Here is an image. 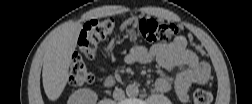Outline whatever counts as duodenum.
I'll use <instances>...</instances> for the list:
<instances>
[{"label":"duodenum","instance_id":"410a0bca","mask_svg":"<svg viewBox=\"0 0 252 104\" xmlns=\"http://www.w3.org/2000/svg\"><path fill=\"white\" fill-rule=\"evenodd\" d=\"M120 77L118 76H113V75H110V76H107L103 82L104 86L106 88H110L112 87L113 85H115V83L118 81Z\"/></svg>","mask_w":252,"mask_h":104}]
</instances>
